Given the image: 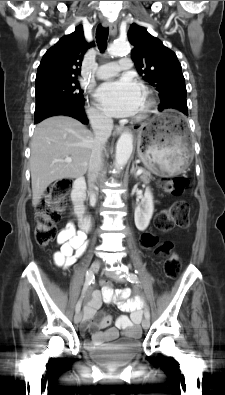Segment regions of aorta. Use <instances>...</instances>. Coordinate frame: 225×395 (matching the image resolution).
<instances>
[{"label":"aorta","instance_id":"762f6f07","mask_svg":"<svg viewBox=\"0 0 225 395\" xmlns=\"http://www.w3.org/2000/svg\"><path fill=\"white\" fill-rule=\"evenodd\" d=\"M130 50V45L127 41L117 40L110 45L108 53L112 56H116L129 53ZM132 150L133 136L130 132H123L116 144L115 167L117 169H123L127 164Z\"/></svg>","mask_w":225,"mask_h":395}]
</instances>
